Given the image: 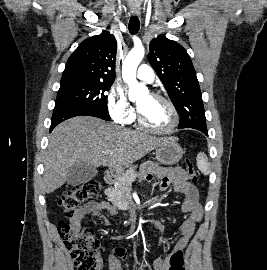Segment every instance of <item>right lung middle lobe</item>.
<instances>
[{
  "mask_svg": "<svg viewBox=\"0 0 267 270\" xmlns=\"http://www.w3.org/2000/svg\"><path fill=\"white\" fill-rule=\"evenodd\" d=\"M113 81L66 79L61 80L60 89L55 101L56 109L76 111H108L106 91Z\"/></svg>",
  "mask_w": 267,
  "mask_h": 270,
  "instance_id": "obj_1",
  "label": "right lung middle lobe"
}]
</instances>
